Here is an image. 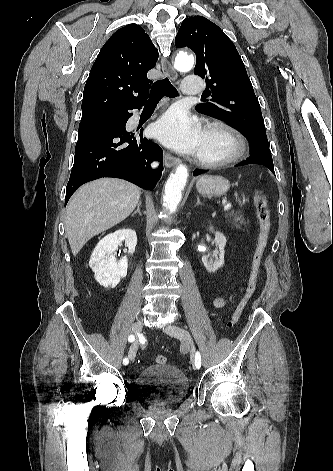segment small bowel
<instances>
[{"label":"small bowel","instance_id":"c3829d8e","mask_svg":"<svg viewBox=\"0 0 333 471\" xmlns=\"http://www.w3.org/2000/svg\"><path fill=\"white\" fill-rule=\"evenodd\" d=\"M225 304H226V300L222 297L216 298L214 300V306L216 308H222L223 306H225Z\"/></svg>","mask_w":333,"mask_h":471}]
</instances>
